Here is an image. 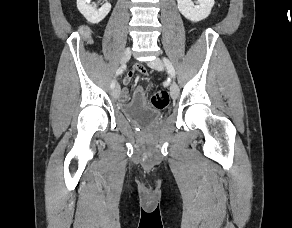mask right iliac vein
Returning <instances> with one entry per match:
<instances>
[{
	"instance_id": "1",
	"label": "right iliac vein",
	"mask_w": 292,
	"mask_h": 228,
	"mask_svg": "<svg viewBox=\"0 0 292 228\" xmlns=\"http://www.w3.org/2000/svg\"><path fill=\"white\" fill-rule=\"evenodd\" d=\"M131 57V49L130 48H126L122 54L121 57V63L122 64H126L129 59ZM120 94V87L117 85L113 90H112V96L114 98H117Z\"/></svg>"
}]
</instances>
